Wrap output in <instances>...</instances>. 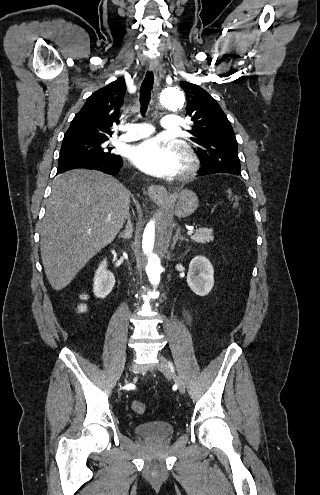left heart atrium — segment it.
Instances as JSON below:
<instances>
[{"instance_id":"1","label":"left heart atrium","mask_w":320,"mask_h":495,"mask_svg":"<svg viewBox=\"0 0 320 495\" xmlns=\"http://www.w3.org/2000/svg\"><path fill=\"white\" fill-rule=\"evenodd\" d=\"M130 161L141 171L156 177L174 176L179 171V155L170 145L152 138L133 146Z\"/></svg>"}]
</instances>
